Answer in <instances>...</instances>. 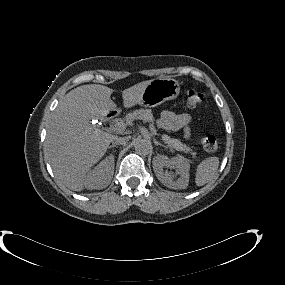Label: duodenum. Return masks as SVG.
<instances>
[{
	"mask_svg": "<svg viewBox=\"0 0 285 285\" xmlns=\"http://www.w3.org/2000/svg\"><path fill=\"white\" fill-rule=\"evenodd\" d=\"M114 117V113L110 112L104 115V122L109 123Z\"/></svg>",
	"mask_w": 285,
	"mask_h": 285,
	"instance_id": "duodenum-1",
	"label": "duodenum"
}]
</instances>
